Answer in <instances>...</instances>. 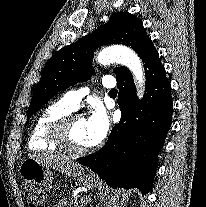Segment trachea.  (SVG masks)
Returning <instances> with one entry per match:
<instances>
[{
  "label": "trachea",
  "mask_w": 206,
  "mask_h": 207,
  "mask_svg": "<svg viewBox=\"0 0 206 207\" xmlns=\"http://www.w3.org/2000/svg\"><path fill=\"white\" fill-rule=\"evenodd\" d=\"M110 93H111V94H116V93H117V90H116V89H112V90L110 91Z\"/></svg>",
  "instance_id": "obj_1"
}]
</instances>
